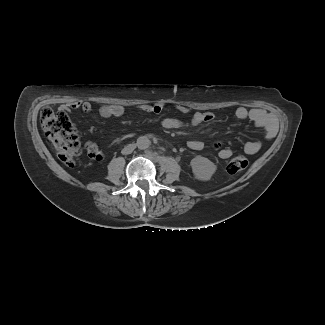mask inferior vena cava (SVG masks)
I'll use <instances>...</instances> for the list:
<instances>
[{
  "mask_svg": "<svg viewBox=\"0 0 325 325\" xmlns=\"http://www.w3.org/2000/svg\"><path fill=\"white\" fill-rule=\"evenodd\" d=\"M135 148L136 146L134 144H129L122 149L121 153L123 155L131 154Z\"/></svg>",
  "mask_w": 325,
  "mask_h": 325,
  "instance_id": "obj_1",
  "label": "inferior vena cava"
}]
</instances>
